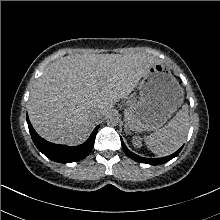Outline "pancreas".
<instances>
[{
    "label": "pancreas",
    "mask_w": 220,
    "mask_h": 220,
    "mask_svg": "<svg viewBox=\"0 0 220 220\" xmlns=\"http://www.w3.org/2000/svg\"><path fill=\"white\" fill-rule=\"evenodd\" d=\"M131 101H133V99H128V101H127V102H128V103H130Z\"/></svg>",
    "instance_id": "1"
}]
</instances>
